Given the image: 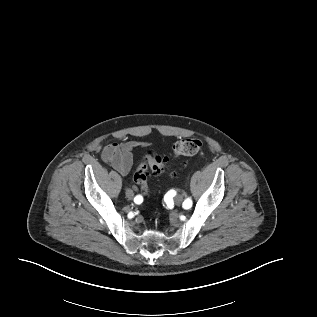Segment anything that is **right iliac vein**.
<instances>
[{"label":"right iliac vein","instance_id":"obj_1","mask_svg":"<svg viewBox=\"0 0 317 317\" xmlns=\"http://www.w3.org/2000/svg\"><path fill=\"white\" fill-rule=\"evenodd\" d=\"M126 196L129 198V199H132L133 198V194L131 196L128 195V191L126 192Z\"/></svg>","mask_w":317,"mask_h":317}]
</instances>
